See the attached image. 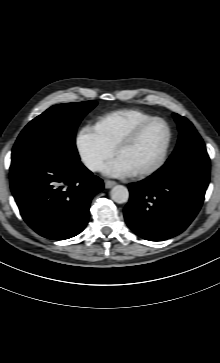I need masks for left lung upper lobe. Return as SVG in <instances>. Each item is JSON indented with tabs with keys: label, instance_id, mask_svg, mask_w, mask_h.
<instances>
[{
	"label": "left lung upper lobe",
	"instance_id": "5c2ea615",
	"mask_svg": "<svg viewBox=\"0 0 220 363\" xmlns=\"http://www.w3.org/2000/svg\"><path fill=\"white\" fill-rule=\"evenodd\" d=\"M173 115L175 121L178 124L180 134L178 144L169 159L176 158L191 151L205 152L206 148L204 142L201 139L200 135L197 133L193 124L185 117H182L176 113Z\"/></svg>",
	"mask_w": 220,
	"mask_h": 363
}]
</instances>
